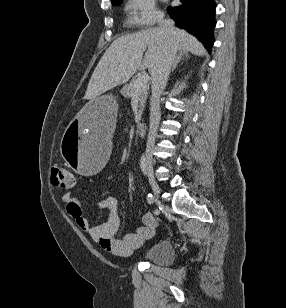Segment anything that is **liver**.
Masks as SVG:
<instances>
[{"label": "liver", "instance_id": "1", "mask_svg": "<svg viewBox=\"0 0 286 308\" xmlns=\"http://www.w3.org/2000/svg\"><path fill=\"white\" fill-rule=\"evenodd\" d=\"M168 36L165 30L157 27L114 40L96 66L85 98L91 103L97 102L101 94L126 83L139 68H148L152 73L163 55ZM173 39L180 52L199 56L206 53L202 44L184 30L175 28Z\"/></svg>", "mask_w": 286, "mask_h": 308}]
</instances>
